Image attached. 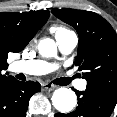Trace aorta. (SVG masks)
<instances>
[{
    "label": "aorta",
    "instance_id": "762f6f07",
    "mask_svg": "<svg viewBox=\"0 0 117 117\" xmlns=\"http://www.w3.org/2000/svg\"><path fill=\"white\" fill-rule=\"evenodd\" d=\"M39 54L43 57H54L57 54V47L54 40L46 38L39 42ZM52 105L61 113L70 112L77 103V96L69 88L61 87L52 95Z\"/></svg>",
    "mask_w": 117,
    "mask_h": 117
}]
</instances>
